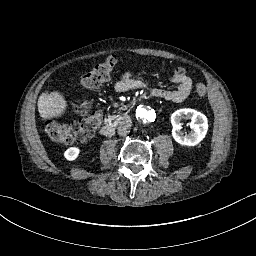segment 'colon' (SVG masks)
Masks as SVG:
<instances>
[{
    "label": "colon",
    "mask_w": 256,
    "mask_h": 256,
    "mask_svg": "<svg viewBox=\"0 0 256 256\" xmlns=\"http://www.w3.org/2000/svg\"><path fill=\"white\" fill-rule=\"evenodd\" d=\"M117 60L108 57L103 62L95 64L90 71L84 74L81 87L94 89L100 87L103 83L109 81L115 68ZM185 70L176 68L175 77H183ZM194 92L198 98H204L207 94L205 83L200 80L195 81ZM73 111L79 113L82 118L74 121L70 125H65L57 121H46L44 123L46 134L54 141L61 143H73L87 139L100 125V116L84 102H78Z\"/></svg>",
    "instance_id": "obj_1"
}]
</instances>
